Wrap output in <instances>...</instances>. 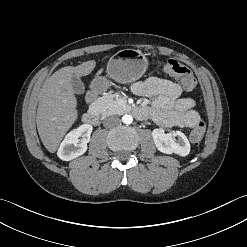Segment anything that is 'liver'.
<instances>
[{
  "instance_id": "1",
  "label": "liver",
  "mask_w": 247,
  "mask_h": 247,
  "mask_svg": "<svg viewBox=\"0 0 247 247\" xmlns=\"http://www.w3.org/2000/svg\"><path fill=\"white\" fill-rule=\"evenodd\" d=\"M95 66V60H90L75 67H63L44 82L39 93L36 124L41 141L50 153L56 152L78 118L72 78L89 75Z\"/></svg>"
}]
</instances>
